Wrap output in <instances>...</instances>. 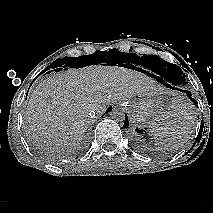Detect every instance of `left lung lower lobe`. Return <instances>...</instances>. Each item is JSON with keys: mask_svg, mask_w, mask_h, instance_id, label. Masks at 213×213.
<instances>
[{"mask_svg": "<svg viewBox=\"0 0 213 213\" xmlns=\"http://www.w3.org/2000/svg\"><path fill=\"white\" fill-rule=\"evenodd\" d=\"M157 75H152L151 73H149V75L153 76L156 80H158L160 83L164 84L166 87H169V88H172V89H177V90H180L182 92H185L187 94V96L190 98V100L195 104L196 106V102L195 100L191 97V93L189 91H184V90H181V89H178V88H175L173 87L174 84L172 82V80L167 77L165 74L159 72V71H156V70H153ZM129 125V122H128V118L127 116L125 115V124H124V127H127Z\"/></svg>", "mask_w": 213, "mask_h": 213, "instance_id": "obj_1", "label": "left lung lower lobe"}]
</instances>
